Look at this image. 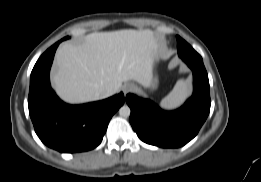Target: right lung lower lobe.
Listing matches in <instances>:
<instances>
[{
    "label": "right lung lower lobe",
    "mask_w": 261,
    "mask_h": 182,
    "mask_svg": "<svg viewBox=\"0 0 261 182\" xmlns=\"http://www.w3.org/2000/svg\"><path fill=\"white\" fill-rule=\"evenodd\" d=\"M60 40L36 62L30 78L28 107L40 140L62 153L82 152L97 147L114 113L124 104L120 93L83 105L62 102L50 87L49 71Z\"/></svg>",
    "instance_id": "obj_1"
}]
</instances>
